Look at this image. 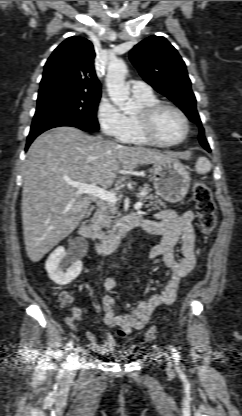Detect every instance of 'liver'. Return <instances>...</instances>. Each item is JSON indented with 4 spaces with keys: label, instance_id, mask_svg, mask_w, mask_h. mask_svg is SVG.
<instances>
[{
    "label": "liver",
    "instance_id": "obj_1",
    "mask_svg": "<svg viewBox=\"0 0 242 416\" xmlns=\"http://www.w3.org/2000/svg\"><path fill=\"white\" fill-rule=\"evenodd\" d=\"M169 159L171 155L118 145L74 127H57L38 136L27 153L22 191L29 259L41 260L84 217L91 200L81 197L70 182L109 188L127 179V173L139 165Z\"/></svg>",
    "mask_w": 242,
    "mask_h": 416
}]
</instances>
